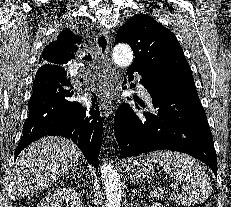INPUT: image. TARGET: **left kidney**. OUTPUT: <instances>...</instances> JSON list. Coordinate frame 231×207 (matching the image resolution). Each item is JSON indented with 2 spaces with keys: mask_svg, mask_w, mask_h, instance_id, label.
I'll return each instance as SVG.
<instances>
[{
  "mask_svg": "<svg viewBox=\"0 0 231 207\" xmlns=\"http://www.w3.org/2000/svg\"><path fill=\"white\" fill-rule=\"evenodd\" d=\"M151 207H165V206H163L161 203L155 202L152 204Z\"/></svg>",
  "mask_w": 231,
  "mask_h": 207,
  "instance_id": "obj_1",
  "label": "left kidney"
}]
</instances>
